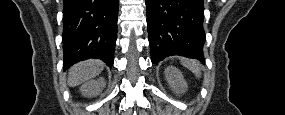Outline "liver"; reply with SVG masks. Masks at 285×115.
Returning <instances> with one entry per match:
<instances>
[{
	"mask_svg": "<svg viewBox=\"0 0 285 115\" xmlns=\"http://www.w3.org/2000/svg\"><path fill=\"white\" fill-rule=\"evenodd\" d=\"M104 68L103 62L99 60H87L71 67L68 72V85L70 87L78 86L96 76Z\"/></svg>",
	"mask_w": 285,
	"mask_h": 115,
	"instance_id": "liver-1",
	"label": "liver"
}]
</instances>
